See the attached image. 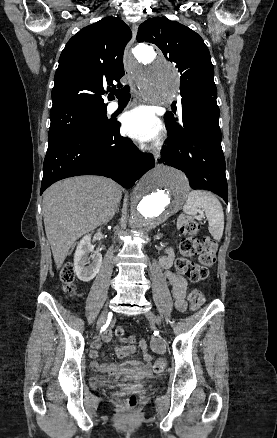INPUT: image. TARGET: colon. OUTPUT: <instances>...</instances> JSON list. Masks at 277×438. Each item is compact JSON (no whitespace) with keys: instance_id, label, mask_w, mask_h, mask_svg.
<instances>
[{"instance_id":"1","label":"colon","mask_w":277,"mask_h":438,"mask_svg":"<svg viewBox=\"0 0 277 438\" xmlns=\"http://www.w3.org/2000/svg\"><path fill=\"white\" fill-rule=\"evenodd\" d=\"M180 232L183 236L180 243V251L183 256L191 258L199 256V263L183 257L177 258L175 262L176 270L180 275L188 277L191 281H202L207 277L208 270L215 264L216 241L211 236L198 237L200 226L199 223L188 218H182L179 221ZM62 277L65 285L63 291L69 296L75 295V286L70 279L74 277V271L71 267L65 266L62 270ZM188 301L192 309H199L205 302L204 294L200 290H193L189 293ZM115 334L118 337L124 336V330L121 327L115 328ZM125 341L132 342V337H126ZM166 362L162 357L157 358L155 369L157 372L162 371ZM124 408L138 409L139 394L125 393Z\"/></svg>"}]
</instances>
